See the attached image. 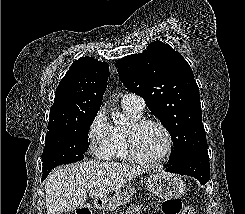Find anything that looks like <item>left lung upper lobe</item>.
Returning <instances> with one entry per match:
<instances>
[{"label": "left lung upper lobe", "instance_id": "left-lung-upper-lobe-1", "mask_svg": "<svg viewBox=\"0 0 245 214\" xmlns=\"http://www.w3.org/2000/svg\"><path fill=\"white\" fill-rule=\"evenodd\" d=\"M124 86L141 96L169 131L174 150L171 164L207 150L200 95L187 61L170 45L152 42L139 54L116 62Z\"/></svg>", "mask_w": 245, "mask_h": 214}]
</instances>
